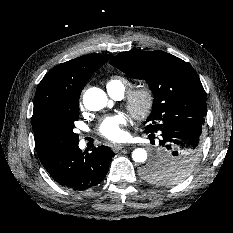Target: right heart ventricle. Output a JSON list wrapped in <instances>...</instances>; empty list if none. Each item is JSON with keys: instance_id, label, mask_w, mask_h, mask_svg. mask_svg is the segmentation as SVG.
I'll return each mask as SVG.
<instances>
[{"instance_id": "right-heart-ventricle-1", "label": "right heart ventricle", "mask_w": 233, "mask_h": 233, "mask_svg": "<svg viewBox=\"0 0 233 233\" xmlns=\"http://www.w3.org/2000/svg\"><path fill=\"white\" fill-rule=\"evenodd\" d=\"M130 81L122 75H112L106 80V88L110 95H123L129 88Z\"/></svg>"}]
</instances>
